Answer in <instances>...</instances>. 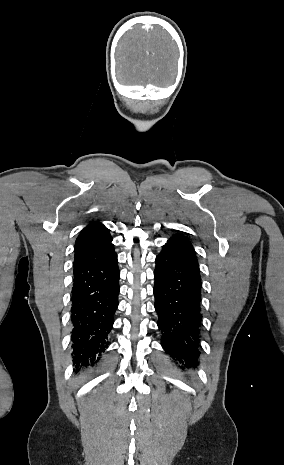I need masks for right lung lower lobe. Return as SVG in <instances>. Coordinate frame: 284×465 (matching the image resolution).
Here are the masks:
<instances>
[{
    "instance_id": "obj_1",
    "label": "right lung lower lobe",
    "mask_w": 284,
    "mask_h": 465,
    "mask_svg": "<svg viewBox=\"0 0 284 465\" xmlns=\"http://www.w3.org/2000/svg\"><path fill=\"white\" fill-rule=\"evenodd\" d=\"M111 241L112 237L74 260L71 337L76 368L96 364L109 344L120 278Z\"/></svg>"
}]
</instances>
